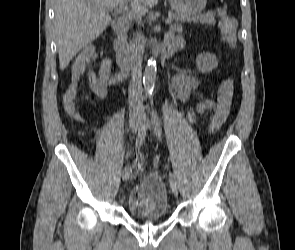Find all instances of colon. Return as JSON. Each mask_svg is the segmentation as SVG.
Listing matches in <instances>:
<instances>
[{"label": "colon", "instance_id": "5ec220e1", "mask_svg": "<svg viewBox=\"0 0 295 250\" xmlns=\"http://www.w3.org/2000/svg\"><path fill=\"white\" fill-rule=\"evenodd\" d=\"M220 30L223 42L230 48L235 44V21L229 16L221 13ZM92 51L91 48L87 49ZM78 93L77 80L71 81L70 86L65 92L64 105L66 112L75 119H80L76 111L75 98ZM234 93L233 81L230 79L224 80L219 88V94L217 98L216 110L211 118L209 129L214 132L218 130L228 118L230 113V107L232 103Z\"/></svg>", "mask_w": 295, "mask_h": 250}]
</instances>
